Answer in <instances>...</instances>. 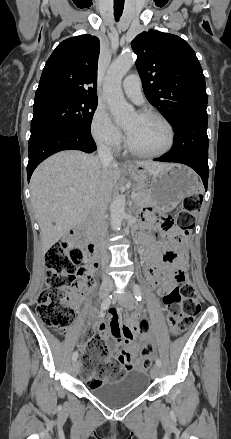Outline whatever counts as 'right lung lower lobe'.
Returning a JSON list of instances; mask_svg holds the SVG:
<instances>
[{
	"mask_svg": "<svg viewBox=\"0 0 231 439\" xmlns=\"http://www.w3.org/2000/svg\"><path fill=\"white\" fill-rule=\"evenodd\" d=\"M62 150H81L92 153L96 144L90 131L72 125L47 129L29 139L28 181L35 168L47 157Z\"/></svg>",
	"mask_w": 231,
	"mask_h": 439,
	"instance_id": "obj_1",
	"label": "right lung lower lobe"
}]
</instances>
